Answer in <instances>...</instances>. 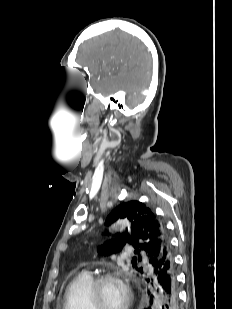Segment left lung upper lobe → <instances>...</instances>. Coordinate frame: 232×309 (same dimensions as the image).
Masks as SVG:
<instances>
[{
	"instance_id": "5c2ea615",
	"label": "left lung upper lobe",
	"mask_w": 232,
	"mask_h": 309,
	"mask_svg": "<svg viewBox=\"0 0 232 309\" xmlns=\"http://www.w3.org/2000/svg\"><path fill=\"white\" fill-rule=\"evenodd\" d=\"M124 218L130 221V233H123L106 242L98 249L99 253L115 254L129 244L134 247L136 254L145 252L150 262L160 254L163 245L170 244L164 224L145 204L135 200L122 203L109 214L105 224L110 225ZM141 260V255L138 259L134 257L132 264L139 273L145 274L143 267H137Z\"/></svg>"
}]
</instances>
